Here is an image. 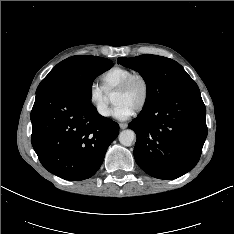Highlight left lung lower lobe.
Here are the masks:
<instances>
[{"instance_id":"1","label":"left lung lower lobe","mask_w":234,"mask_h":234,"mask_svg":"<svg viewBox=\"0 0 234 234\" xmlns=\"http://www.w3.org/2000/svg\"><path fill=\"white\" fill-rule=\"evenodd\" d=\"M206 108L196 83L169 95L129 123L137 135L134 158L158 179H175L199 161L207 137Z\"/></svg>"}]
</instances>
